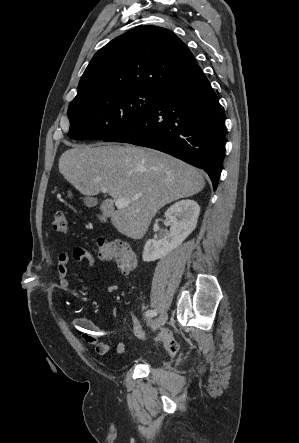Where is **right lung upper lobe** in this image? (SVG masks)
<instances>
[{
  "label": "right lung upper lobe",
  "instance_id": "right-lung-upper-lobe-1",
  "mask_svg": "<svg viewBox=\"0 0 299 443\" xmlns=\"http://www.w3.org/2000/svg\"><path fill=\"white\" fill-rule=\"evenodd\" d=\"M199 71L192 52L174 33L141 26L113 39L94 55L71 103L115 90L159 92Z\"/></svg>",
  "mask_w": 299,
  "mask_h": 443
}]
</instances>
